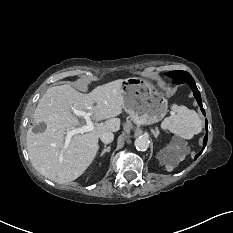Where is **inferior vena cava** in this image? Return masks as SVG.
<instances>
[{
	"label": "inferior vena cava",
	"instance_id": "602c4592",
	"mask_svg": "<svg viewBox=\"0 0 233 233\" xmlns=\"http://www.w3.org/2000/svg\"><path fill=\"white\" fill-rule=\"evenodd\" d=\"M100 139L103 143H111L114 139V134L111 131H105L100 135Z\"/></svg>",
	"mask_w": 233,
	"mask_h": 233
}]
</instances>
